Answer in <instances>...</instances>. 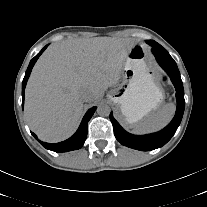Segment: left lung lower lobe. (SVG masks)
<instances>
[{
	"instance_id": "1",
	"label": "left lung lower lobe",
	"mask_w": 207,
	"mask_h": 207,
	"mask_svg": "<svg viewBox=\"0 0 207 207\" xmlns=\"http://www.w3.org/2000/svg\"><path fill=\"white\" fill-rule=\"evenodd\" d=\"M150 45L157 62L167 72L176 89L177 109L174 118L167 127L157 133L137 136L126 132L112 113L110 114L116 139L124 146L141 151H150L165 145L180 125L185 108L184 89L176 62L160 44L152 42Z\"/></svg>"
}]
</instances>
